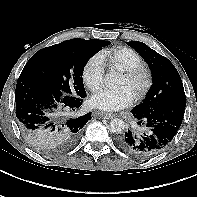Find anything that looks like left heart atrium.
Instances as JSON below:
<instances>
[{"mask_svg":"<svg viewBox=\"0 0 197 197\" xmlns=\"http://www.w3.org/2000/svg\"><path fill=\"white\" fill-rule=\"evenodd\" d=\"M134 94L127 87L98 89L91 98V104L98 109L114 112L121 110L134 101Z\"/></svg>","mask_w":197,"mask_h":197,"instance_id":"obj_1","label":"left heart atrium"}]
</instances>
